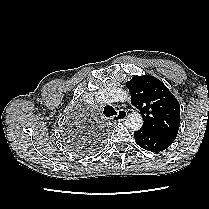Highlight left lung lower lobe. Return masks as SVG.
Returning <instances> with one entry per match:
<instances>
[{"instance_id":"obj_1","label":"left lung lower lobe","mask_w":209,"mask_h":209,"mask_svg":"<svg viewBox=\"0 0 209 209\" xmlns=\"http://www.w3.org/2000/svg\"><path fill=\"white\" fill-rule=\"evenodd\" d=\"M134 138L140 147L151 152L163 151L175 140L173 137L155 134L142 128L134 132Z\"/></svg>"}]
</instances>
